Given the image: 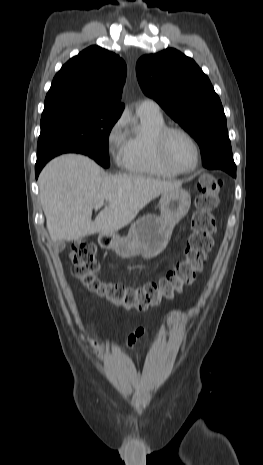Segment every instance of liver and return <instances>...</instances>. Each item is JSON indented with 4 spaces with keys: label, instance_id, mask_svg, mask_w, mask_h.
I'll return each mask as SVG.
<instances>
[{
    "label": "liver",
    "instance_id": "1",
    "mask_svg": "<svg viewBox=\"0 0 263 465\" xmlns=\"http://www.w3.org/2000/svg\"><path fill=\"white\" fill-rule=\"evenodd\" d=\"M38 183L53 242L94 233L112 235L131 223L150 201L181 186L179 181L142 175L101 177L98 164L77 154L51 160L41 171ZM104 201L109 205L92 221L93 208Z\"/></svg>",
    "mask_w": 263,
    "mask_h": 465
}]
</instances>
